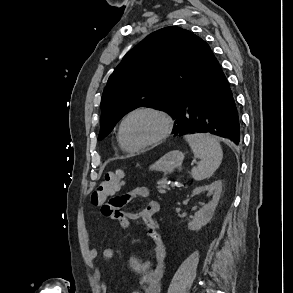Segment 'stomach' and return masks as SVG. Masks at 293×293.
<instances>
[{"instance_id": "1", "label": "stomach", "mask_w": 293, "mask_h": 293, "mask_svg": "<svg viewBox=\"0 0 293 293\" xmlns=\"http://www.w3.org/2000/svg\"><path fill=\"white\" fill-rule=\"evenodd\" d=\"M184 154L179 150H172L158 159L150 166L151 170L161 171L164 174L171 173L175 168L181 166Z\"/></svg>"}]
</instances>
